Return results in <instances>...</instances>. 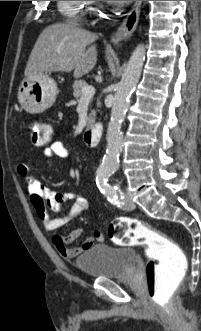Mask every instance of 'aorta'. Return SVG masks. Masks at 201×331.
Listing matches in <instances>:
<instances>
[{
	"label": "aorta",
	"mask_w": 201,
	"mask_h": 331,
	"mask_svg": "<svg viewBox=\"0 0 201 331\" xmlns=\"http://www.w3.org/2000/svg\"><path fill=\"white\" fill-rule=\"evenodd\" d=\"M145 53L144 44H139L135 48L126 65L121 81L116 87L107 128L106 154L98 169V177L100 178H107L118 168L123 142L121 126L129 107V97L141 76Z\"/></svg>",
	"instance_id": "1"
}]
</instances>
